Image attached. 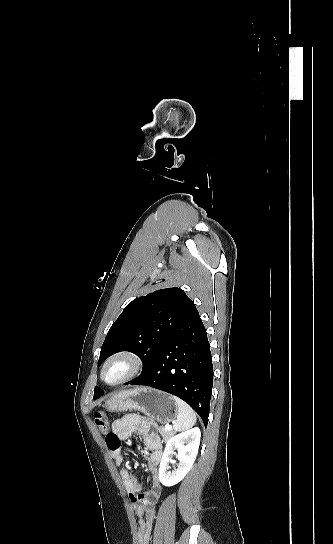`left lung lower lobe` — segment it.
<instances>
[{"label":"left lung lower lobe","instance_id":"0a47b994","mask_svg":"<svg viewBox=\"0 0 333 544\" xmlns=\"http://www.w3.org/2000/svg\"><path fill=\"white\" fill-rule=\"evenodd\" d=\"M127 384L150 386L181 398L207 426L213 365L207 333L196 307L165 342L150 367Z\"/></svg>","mask_w":333,"mask_h":544}]
</instances>
